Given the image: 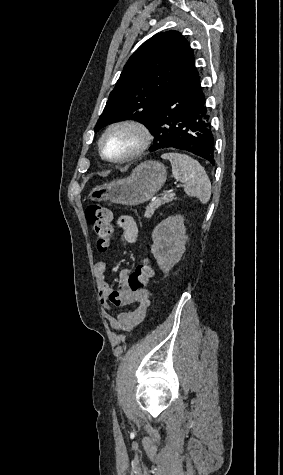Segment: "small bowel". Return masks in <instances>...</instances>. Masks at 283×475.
<instances>
[{"mask_svg": "<svg viewBox=\"0 0 283 475\" xmlns=\"http://www.w3.org/2000/svg\"><path fill=\"white\" fill-rule=\"evenodd\" d=\"M117 227L122 231L123 239L127 244H134L138 239V225L135 219L129 215H122L117 219ZM107 264L98 261L94 265V277L99 302L104 310V319L110 328L116 332H129L138 327L144 320L150 305V292L139 291L138 296H125L123 284H128L129 268H121L119 272L120 285L115 290L106 279ZM134 305L132 309L119 311L112 316L109 311L113 307Z\"/></svg>", "mask_w": 283, "mask_h": 475, "instance_id": "obj_1", "label": "small bowel"}]
</instances>
